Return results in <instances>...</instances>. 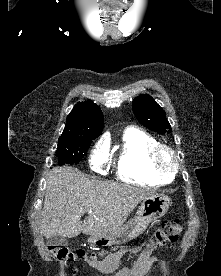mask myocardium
I'll list each match as a JSON object with an SVG mask.
<instances>
[{
	"instance_id": "1",
	"label": "myocardium",
	"mask_w": 221,
	"mask_h": 276,
	"mask_svg": "<svg viewBox=\"0 0 221 276\" xmlns=\"http://www.w3.org/2000/svg\"><path fill=\"white\" fill-rule=\"evenodd\" d=\"M149 165L153 171L160 175L173 176L179 169V160L175 150L158 143L148 154Z\"/></svg>"
}]
</instances>
